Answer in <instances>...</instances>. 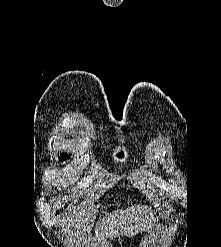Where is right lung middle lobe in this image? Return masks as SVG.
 <instances>
[{
	"label": "right lung middle lobe",
	"mask_w": 221,
	"mask_h": 247,
	"mask_svg": "<svg viewBox=\"0 0 221 247\" xmlns=\"http://www.w3.org/2000/svg\"><path fill=\"white\" fill-rule=\"evenodd\" d=\"M63 158H64V159H67V154H64V153H63V154H62V157H61V160H62Z\"/></svg>",
	"instance_id": "dd1d6c3e"
}]
</instances>
